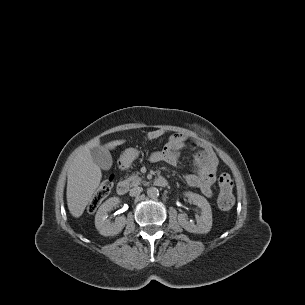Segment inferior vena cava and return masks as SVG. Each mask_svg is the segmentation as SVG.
Returning a JSON list of instances; mask_svg holds the SVG:
<instances>
[{"instance_id": "602c4592", "label": "inferior vena cava", "mask_w": 305, "mask_h": 305, "mask_svg": "<svg viewBox=\"0 0 305 305\" xmlns=\"http://www.w3.org/2000/svg\"><path fill=\"white\" fill-rule=\"evenodd\" d=\"M143 191L142 187H134L130 190L129 195L130 196H137Z\"/></svg>"}]
</instances>
